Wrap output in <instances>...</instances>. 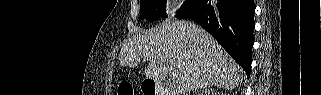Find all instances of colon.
<instances>
[{"instance_id":"1","label":"colon","mask_w":321,"mask_h":95,"mask_svg":"<svg viewBox=\"0 0 321 95\" xmlns=\"http://www.w3.org/2000/svg\"><path fill=\"white\" fill-rule=\"evenodd\" d=\"M119 95H134L133 88L130 83L123 81L118 86Z\"/></svg>"}]
</instances>
